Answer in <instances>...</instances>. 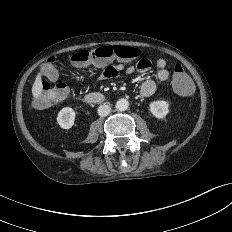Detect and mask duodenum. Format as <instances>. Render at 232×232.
<instances>
[{"label": "duodenum", "instance_id": "duodenum-1", "mask_svg": "<svg viewBox=\"0 0 232 232\" xmlns=\"http://www.w3.org/2000/svg\"><path fill=\"white\" fill-rule=\"evenodd\" d=\"M84 98L88 103H101L104 101V95L98 92L88 93Z\"/></svg>", "mask_w": 232, "mask_h": 232}]
</instances>
